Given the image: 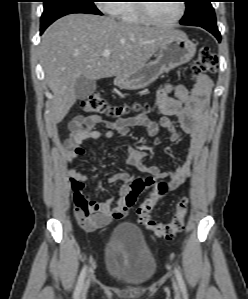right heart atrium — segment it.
Returning <instances> with one entry per match:
<instances>
[{
	"label": "right heart atrium",
	"mask_w": 248,
	"mask_h": 299,
	"mask_svg": "<svg viewBox=\"0 0 248 299\" xmlns=\"http://www.w3.org/2000/svg\"><path fill=\"white\" fill-rule=\"evenodd\" d=\"M101 2H104L100 6V8L103 11H106L108 13H112L113 12V5L115 4L114 2H106V1H101Z\"/></svg>",
	"instance_id": "obj_1"
}]
</instances>
